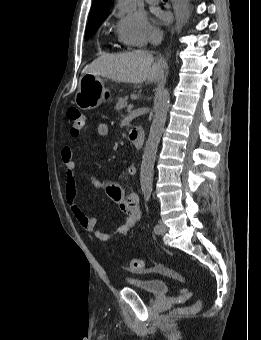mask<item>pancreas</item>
Wrapping results in <instances>:
<instances>
[{
    "label": "pancreas",
    "mask_w": 261,
    "mask_h": 340,
    "mask_svg": "<svg viewBox=\"0 0 261 340\" xmlns=\"http://www.w3.org/2000/svg\"><path fill=\"white\" fill-rule=\"evenodd\" d=\"M127 100H128V97H127V96H125V97H120V98L118 99V102H117L116 106H115V109H116L117 111H119V110L123 109L124 107H126V106H127Z\"/></svg>",
    "instance_id": "1"
}]
</instances>
